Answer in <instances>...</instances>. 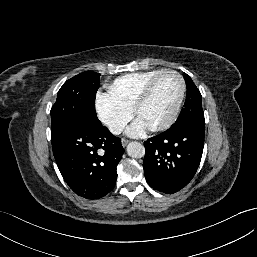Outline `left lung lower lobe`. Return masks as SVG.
<instances>
[{
	"label": "left lung lower lobe",
	"mask_w": 257,
	"mask_h": 257,
	"mask_svg": "<svg viewBox=\"0 0 257 257\" xmlns=\"http://www.w3.org/2000/svg\"><path fill=\"white\" fill-rule=\"evenodd\" d=\"M204 122H188L170 127L144 142L145 178L154 189L173 194L194 177L204 147Z\"/></svg>",
	"instance_id": "1"
}]
</instances>
